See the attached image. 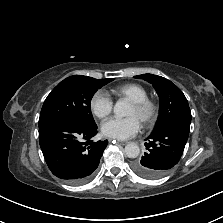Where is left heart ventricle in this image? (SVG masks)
Segmentation results:
<instances>
[{"instance_id": "left-heart-ventricle-1", "label": "left heart ventricle", "mask_w": 223, "mask_h": 223, "mask_svg": "<svg viewBox=\"0 0 223 223\" xmlns=\"http://www.w3.org/2000/svg\"><path fill=\"white\" fill-rule=\"evenodd\" d=\"M127 115L128 116H135V117H137L140 120L139 114H138L136 108L133 105L130 106V109H129Z\"/></svg>"}]
</instances>
